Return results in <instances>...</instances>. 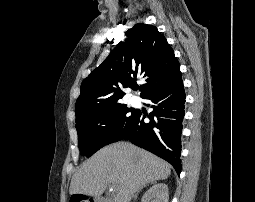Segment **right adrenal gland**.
<instances>
[{
  "mask_svg": "<svg viewBox=\"0 0 255 202\" xmlns=\"http://www.w3.org/2000/svg\"><path fill=\"white\" fill-rule=\"evenodd\" d=\"M148 185H149V183L146 184V185H144V186H142V187L137 191V193H136V195H135V199L137 198L138 193H139L144 187H146V186H148Z\"/></svg>",
  "mask_w": 255,
  "mask_h": 202,
  "instance_id": "obj_1",
  "label": "right adrenal gland"
}]
</instances>
